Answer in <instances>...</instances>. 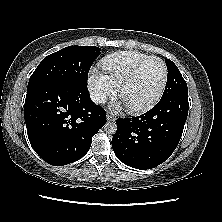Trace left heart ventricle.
Segmentation results:
<instances>
[{"instance_id": "1", "label": "left heart ventricle", "mask_w": 222, "mask_h": 222, "mask_svg": "<svg viewBox=\"0 0 222 222\" xmlns=\"http://www.w3.org/2000/svg\"><path fill=\"white\" fill-rule=\"evenodd\" d=\"M163 80V67L157 60L147 63L136 80L123 92L122 100L127 106H139L152 99Z\"/></svg>"}]
</instances>
